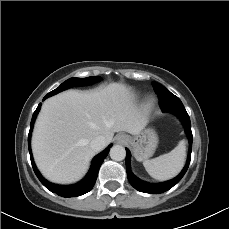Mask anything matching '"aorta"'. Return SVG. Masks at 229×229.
Returning <instances> with one entry per match:
<instances>
[{
    "instance_id": "762f6f07",
    "label": "aorta",
    "mask_w": 229,
    "mask_h": 229,
    "mask_svg": "<svg viewBox=\"0 0 229 229\" xmlns=\"http://www.w3.org/2000/svg\"><path fill=\"white\" fill-rule=\"evenodd\" d=\"M126 156L125 148L121 145H114L110 149V157L115 161H122Z\"/></svg>"
}]
</instances>
